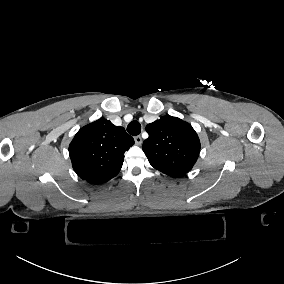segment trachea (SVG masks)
<instances>
[{
	"label": "trachea",
	"instance_id": "1",
	"mask_svg": "<svg viewBox=\"0 0 284 284\" xmlns=\"http://www.w3.org/2000/svg\"><path fill=\"white\" fill-rule=\"evenodd\" d=\"M127 131L130 135L136 136L141 132V125L138 121L134 120L130 122L127 126Z\"/></svg>",
	"mask_w": 284,
	"mask_h": 284
}]
</instances>
